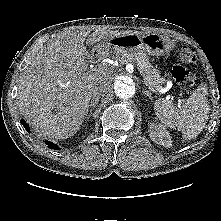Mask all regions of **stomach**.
<instances>
[{
	"label": "stomach",
	"instance_id": "obj_1",
	"mask_svg": "<svg viewBox=\"0 0 221 221\" xmlns=\"http://www.w3.org/2000/svg\"><path fill=\"white\" fill-rule=\"evenodd\" d=\"M109 47L102 49L104 53L109 50L117 51L118 53H146L151 56H161L169 53L175 44L169 38L151 33H129L112 38L108 41Z\"/></svg>",
	"mask_w": 221,
	"mask_h": 221
}]
</instances>
